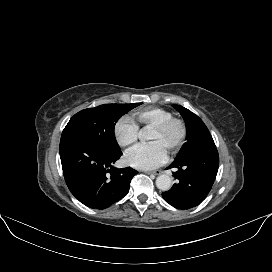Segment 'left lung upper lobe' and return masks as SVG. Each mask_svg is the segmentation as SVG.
I'll return each instance as SVG.
<instances>
[{
  "label": "left lung upper lobe",
  "instance_id": "1",
  "mask_svg": "<svg viewBox=\"0 0 272 272\" xmlns=\"http://www.w3.org/2000/svg\"><path fill=\"white\" fill-rule=\"evenodd\" d=\"M173 107L182 115L187 129L186 142L183 144L175 160L196 150L215 145L208 128L196 114L180 105H173Z\"/></svg>",
  "mask_w": 272,
  "mask_h": 272
}]
</instances>
